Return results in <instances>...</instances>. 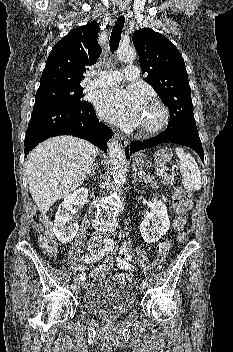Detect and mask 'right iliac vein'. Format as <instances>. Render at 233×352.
I'll return each mask as SVG.
<instances>
[{"instance_id":"1","label":"right iliac vein","mask_w":233,"mask_h":352,"mask_svg":"<svg viewBox=\"0 0 233 352\" xmlns=\"http://www.w3.org/2000/svg\"><path fill=\"white\" fill-rule=\"evenodd\" d=\"M89 250H90V252H91V254H95L98 250L95 248V247H93V246H90L89 247ZM74 291H75V293H79L80 292V289L78 288V287H76L75 289H74Z\"/></svg>"}]
</instances>
